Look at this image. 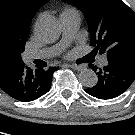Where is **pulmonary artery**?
<instances>
[{"instance_id":"obj_1","label":"pulmonary artery","mask_w":135,"mask_h":135,"mask_svg":"<svg viewBox=\"0 0 135 135\" xmlns=\"http://www.w3.org/2000/svg\"><path fill=\"white\" fill-rule=\"evenodd\" d=\"M60 25L62 29V40L61 43L52 48L28 51L25 54V58L28 61L39 58H50L58 54L66 45H68L75 37L79 25H80V16L78 13H69L60 15ZM101 65H107L106 57H102L100 61Z\"/></svg>"}]
</instances>
